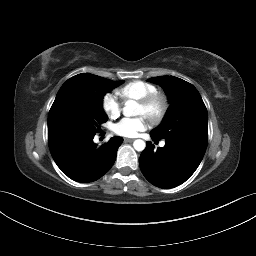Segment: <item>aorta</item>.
I'll return each instance as SVG.
<instances>
[{"label": "aorta", "mask_w": 256, "mask_h": 256, "mask_svg": "<svg viewBox=\"0 0 256 256\" xmlns=\"http://www.w3.org/2000/svg\"><path fill=\"white\" fill-rule=\"evenodd\" d=\"M137 108H138V104L136 101H133V100L127 101L123 108L124 116L131 117V116L138 115ZM133 147L136 151H143L146 147V143L141 139H137L133 142Z\"/></svg>", "instance_id": "762f6f07"}]
</instances>
